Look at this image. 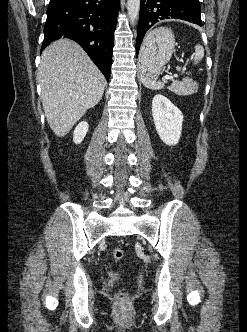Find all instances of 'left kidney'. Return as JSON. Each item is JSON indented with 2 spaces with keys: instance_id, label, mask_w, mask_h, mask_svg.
Here are the masks:
<instances>
[{
  "instance_id": "1",
  "label": "left kidney",
  "mask_w": 247,
  "mask_h": 332,
  "mask_svg": "<svg viewBox=\"0 0 247 332\" xmlns=\"http://www.w3.org/2000/svg\"><path fill=\"white\" fill-rule=\"evenodd\" d=\"M152 116L160 139L169 146L176 145L182 132V112L169 99L158 94L152 100Z\"/></svg>"
}]
</instances>
